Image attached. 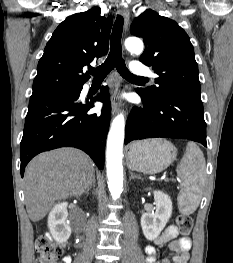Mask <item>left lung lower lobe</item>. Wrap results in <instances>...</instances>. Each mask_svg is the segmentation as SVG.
<instances>
[{
    "instance_id": "obj_1",
    "label": "left lung lower lobe",
    "mask_w": 233,
    "mask_h": 263,
    "mask_svg": "<svg viewBox=\"0 0 233 263\" xmlns=\"http://www.w3.org/2000/svg\"><path fill=\"white\" fill-rule=\"evenodd\" d=\"M143 106L134 107L127 119L125 144L145 138H181L207 147L206 123L200 94L171 92L153 101L140 89Z\"/></svg>"
}]
</instances>
